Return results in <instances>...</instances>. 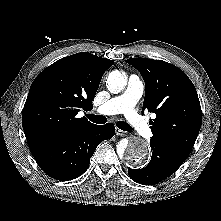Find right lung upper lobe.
<instances>
[{"mask_svg":"<svg viewBox=\"0 0 221 221\" xmlns=\"http://www.w3.org/2000/svg\"><path fill=\"white\" fill-rule=\"evenodd\" d=\"M113 62L81 52L56 61L35 78L22 113L30 148L93 125L76 115L93 108L102 76Z\"/></svg>","mask_w":221,"mask_h":221,"instance_id":"1","label":"right lung upper lobe"}]
</instances>
